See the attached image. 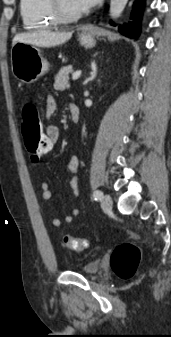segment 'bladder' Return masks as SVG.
<instances>
[{"mask_svg":"<svg viewBox=\"0 0 171 337\" xmlns=\"http://www.w3.org/2000/svg\"><path fill=\"white\" fill-rule=\"evenodd\" d=\"M101 269V264L99 261H93L85 264L80 268V272L88 275V276H93L96 275Z\"/></svg>","mask_w":171,"mask_h":337,"instance_id":"bladder-1","label":"bladder"}]
</instances>
